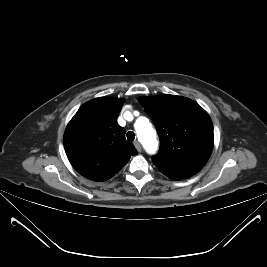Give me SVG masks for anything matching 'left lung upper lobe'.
Masks as SVG:
<instances>
[{
    "instance_id": "5c2ea615",
    "label": "left lung upper lobe",
    "mask_w": 267,
    "mask_h": 267,
    "mask_svg": "<svg viewBox=\"0 0 267 267\" xmlns=\"http://www.w3.org/2000/svg\"><path fill=\"white\" fill-rule=\"evenodd\" d=\"M139 102L160 137L159 152L152 157L158 169L180 179L199 172L214 144L213 124L207 112L182 96L141 97Z\"/></svg>"
}]
</instances>
